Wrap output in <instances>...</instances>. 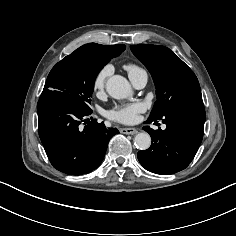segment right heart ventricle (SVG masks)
<instances>
[{
  "label": "right heart ventricle",
  "instance_id": "right-heart-ventricle-1",
  "mask_svg": "<svg viewBox=\"0 0 236 236\" xmlns=\"http://www.w3.org/2000/svg\"><path fill=\"white\" fill-rule=\"evenodd\" d=\"M126 70L129 73V77H133L136 76L137 74H139L140 72H143L145 70H143L141 67L135 65V64H127L125 66Z\"/></svg>",
  "mask_w": 236,
  "mask_h": 236
}]
</instances>
